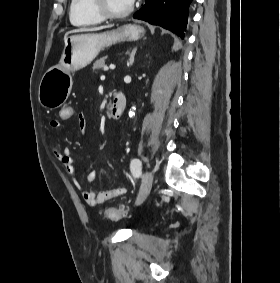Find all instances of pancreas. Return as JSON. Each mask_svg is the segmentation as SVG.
<instances>
[{
    "mask_svg": "<svg viewBox=\"0 0 280 283\" xmlns=\"http://www.w3.org/2000/svg\"><path fill=\"white\" fill-rule=\"evenodd\" d=\"M105 60L106 57H101L100 59H98L94 64H93V70L95 71H99V70H106L105 68Z\"/></svg>",
    "mask_w": 280,
    "mask_h": 283,
    "instance_id": "1",
    "label": "pancreas"
}]
</instances>
